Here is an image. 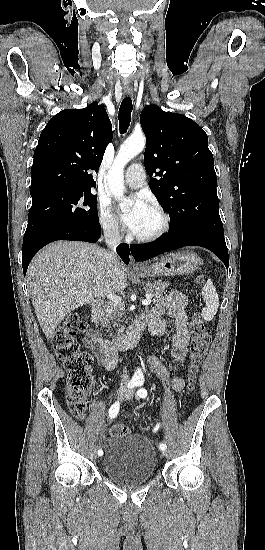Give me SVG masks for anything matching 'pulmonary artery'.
Wrapping results in <instances>:
<instances>
[{"instance_id":"pulmonary-artery-1","label":"pulmonary artery","mask_w":265,"mask_h":550,"mask_svg":"<svg viewBox=\"0 0 265 550\" xmlns=\"http://www.w3.org/2000/svg\"><path fill=\"white\" fill-rule=\"evenodd\" d=\"M145 170L142 164L134 163L129 166L125 175V183L128 187L136 189L145 183Z\"/></svg>"}]
</instances>
